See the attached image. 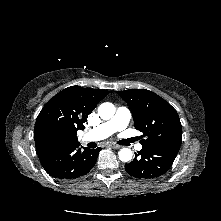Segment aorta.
I'll use <instances>...</instances> for the list:
<instances>
[{"label":"aorta","instance_id":"obj_1","mask_svg":"<svg viewBox=\"0 0 221 221\" xmlns=\"http://www.w3.org/2000/svg\"><path fill=\"white\" fill-rule=\"evenodd\" d=\"M98 114L103 120L111 119L115 114V106L112 103H102L98 108ZM132 151L129 148H122L119 151V159L123 162H128L132 159Z\"/></svg>","mask_w":221,"mask_h":221}]
</instances>
